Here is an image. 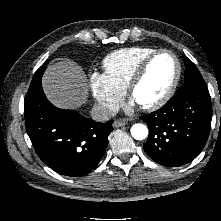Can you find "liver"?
<instances>
[{
  "label": "liver",
  "instance_id": "1",
  "mask_svg": "<svg viewBox=\"0 0 221 221\" xmlns=\"http://www.w3.org/2000/svg\"><path fill=\"white\" fill-rule=\"evenodd\" d=\"M42 87L49 101L61 109H77L88 95L87 77L71 60L50 65L42 77Z\"/></svg>",
  "mask_w": 221,
  "mask_h": 221
}]
</instances>
